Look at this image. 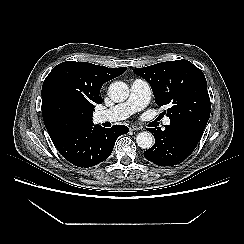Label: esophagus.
Segmentation results:
<instances>
[{
    "label": "esophagus",
    "instance_id": "esophagus-1",
    "mask_svg": "<svg viewBox=\"0 0 244 244\" xmlns=\"http://www.w3.org/2000/svg\"><path fill=\"white\" fill-rule=\"evenodd\" d=\"M140 128L138 127V126H136V125H130L129 126V130H131V131H136V130H139Z\"/></svg>",
    "mask_w": 244,
    "mask_h": 244
}]
</instances>
